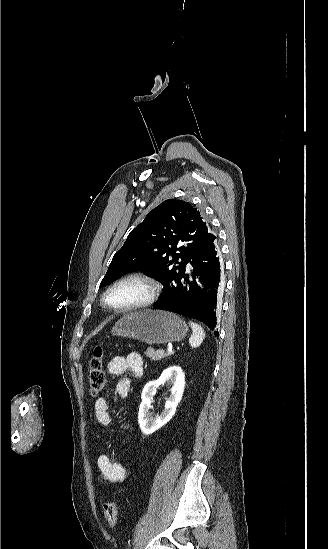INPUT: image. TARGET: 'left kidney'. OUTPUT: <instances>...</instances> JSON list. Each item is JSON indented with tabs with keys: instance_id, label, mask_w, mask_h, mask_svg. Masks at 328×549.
Segmentation results:
<instances>
[{
	"instance_id": "left-kidney-1",
	"label": "left kidney",
	"mask_w": 328,
	"mask_h": 549,
	"mask_svg": "<svg viewBox=\"0 0 328 549\" xmlns=\"http://www.w3.org/2000/svg\"><path fill=\"white\" fill-rule=\"evenodd\" d=\"M164 383L172 385L170 389L171 395L167 399L161 415L159 417H151L149 409H151L153 395H155L157 387L164 385ZM184 387L185 375L182 373L181 367H176V365L165 369L157 381H149L145 385L141 393L142 403L138 413V421L143 435H151V433H154V431H157V429H160V427H163V425H166L172 419L176 413V407L183 397Z\"/></svg>"
}]
</instances>
